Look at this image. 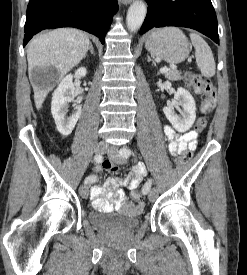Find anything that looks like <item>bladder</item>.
<instances>
[{
    "label": "bladder",
    "instance_id": "1",
    "mask_svg": "<svg viewBox=\"0 0 247 275\" xmlns=\"http://www.w3.org/2000/svg\"><path fill=\"white\" fill-rule=\"evenodd\" d=\"M140 213V209L130 214L97 210L89 213L88 220L92 225L103 229H114L128 232L137 227Z\"/></svg>",
    "mask_w": 247,
    "mask_h": 275
}]
</instances>
